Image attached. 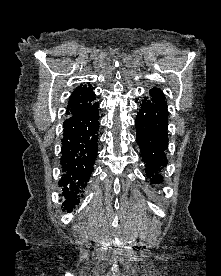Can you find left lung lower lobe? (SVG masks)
Segmentation results:
<instances>
[{"label":"left lung lower lobe","mask_w":221,"mask_h":276,"mask_svg":"<svg viewBox=\"0 0 221 276\" xmlns=\"http://www.w3.org/2000/svg\"><path fill=\"white\" fill-rule=\"evenodd\" d=\"M140 105L135 120L140 155L151 183L160 184L163 181L161 172L168 163V110L147 98Z\"/></svg>","instance_id":"1"}]
</instances>
